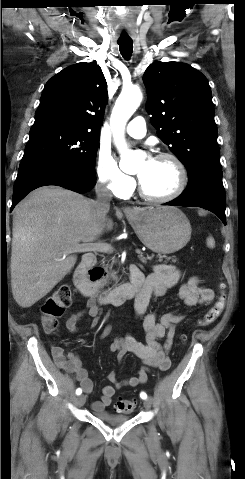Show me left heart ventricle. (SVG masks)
<instances>
[{
    "label": "left heart ventricle",
    "mask_w": 245,
    "mask_h": 479,
    "mask_svg": "<svg viewBox=\"0 0 245 479\" xmlns=\"http://www.w3.org/2000/svg\"><path fill=\"white\" fill-rule=\"evenodd\" d=\"M136 175L144 190L152 196H163L170 193L177 182L176 168L167 159H153L150 163L143 160Z\"/></svg>",
    "instance_id": "b2bd125f"
}]
</instances>
